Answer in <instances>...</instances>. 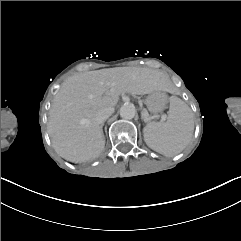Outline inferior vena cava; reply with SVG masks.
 <instances>
[{
  "mask_svg": "<svg viewBox=\"0 0 241 241\" xmlns=\"http://www.w3.org/2000/svg\"><path fill=\"white\" fill-rule=\"evenodd\" d=\"M114 112L113 108H106L101 110L95 117V121L97 124H103Z\"/></svg>",
  "mask_w": 241,
  "mask_h": 241,
  "instance_id": "obj_1",
  "label": "inferior vena cava"
}]
</instances>
